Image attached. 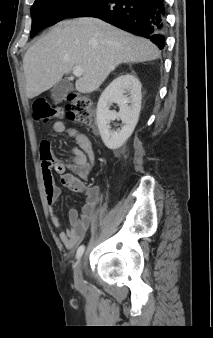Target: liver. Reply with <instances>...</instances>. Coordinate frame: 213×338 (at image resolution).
Masks as SVG:
<instances>
[{
  "instance_id": "6515ba94",
  "label": "liver",
  "mask_w": 213,
  "mask_h": 338,
  "mask_svg": "<svg viewBox=\"0 0 213 338\" xmlns=\"http://www.w3.org/2000/svg\"><path fill=\"white\" fill-rule=\"evenodd\" d=\"M160 51L151 41L96 18L62 21L35 42L23 58L26 94L32 99L79 66L75 83L80 93H92L122 63L153 61Z\"/></svg>"
}]
</instances>
